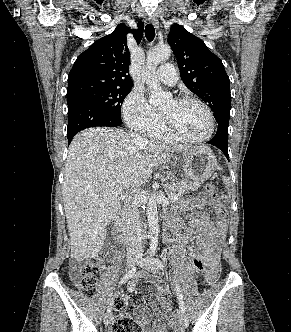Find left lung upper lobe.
I'll use <instances>...</instances> for the list:
<instances>
[{
  "label": "left lung upper lobe",
  "mask_w": 291,
  "mask_h": 332,
  "mask_svg": "<svg viewBox=\"0 0 291 332\" xmlns=\"http://www.w3.org/2000/svg\"><path fill=\"white\" fill-rule=\"evenodd\" d=\"M168 42L184 84L209 105L215 117L230 114V80L222 61L181 25L171 27Z\"/></svg>",
  "instance_id": "obj_1"
}]
</instances>
